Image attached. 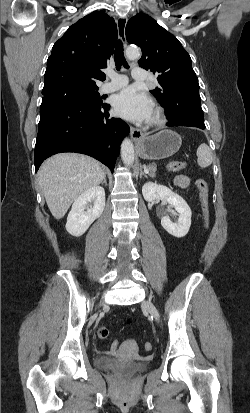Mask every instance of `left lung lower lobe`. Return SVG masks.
Wrapping results in <instances>:
<instances>
[{
  "label": "left lung lower lobe",
  "instance_id": "0a47b994",
  "mask_svg": "<svg viewBox=\"0 0 250 413\" xmlns=\"http://www.w3.org/2000/svg\"><path fill=\"white\" fill-rule=\"evenodd\" d=\"M199 93L182 97L175 96L174 102L164 106L168 118L167 126H190L205 129L204 115Z\"/></svg>",
  "mask_w": 250,
  "mask_h": 413
}]
</instances>
